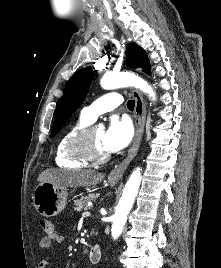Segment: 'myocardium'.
<instances>
[{
  "label": "myocardium",
  "mask_w": 221,
  "mask_h": 268,
  "mask_svg": "<svg viewBox=\"0 0 221 268\" xmlns=\"http://www.w3.org/2000/svg\"><path fill=\"white\" fill-rule=\"evenodd\" d=\"M96 127L89 125L82 129L72 140L70 144L71 154L89 164H101L110 158V154L98 153L92 142V133Z\"/></svg>",
  "instance_id": "obj_1"
}]
</instances>
